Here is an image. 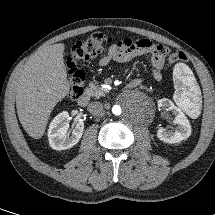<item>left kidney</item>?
<instances>
[{
    "mask_svg": "<svg viewBox=\"0 0 215 215\" xmlns=\"http://www.w3.org/2000/svg\"><path fill=\"white\" fill-rule=\"evenodd\" d=\"M158 107L163 110L171 111L175 117L174 123L178 126L175 130H166L160 127L157 131V137L161 141L169 144L179 143L182 140L189 138L191 135V125L181 109L176 107L171 100L166 98L158 101Z\"/></svg>",
    "mask_w": 215,
    "mask_h": 215,
    "instance_id": "1",
    "label": "left kidney"
}]
</instances>
